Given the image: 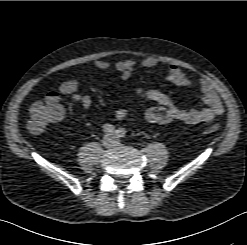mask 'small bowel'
Returning a JSON list of instances; mask_svg holds the SVG:
<instances>
[{"label":"small bowel","instance_id":"obj_1","mask_svg":"<svg viewBox=\"0 0 247 245\" xmlns=\"http://www.w3.org/2000/svg\"><path fill=\"white\" fill-rule=\"evenodd\" d=\"M158 64L154 58H146L141 62L133 59H126L116 62L113 67L120 74L121 78L127 80L139 68L154 67ZM92 65L100 70L109 69L112 65L106 60H95ZM166 80L177 85L192 86L197 85L202 93V100L206 105L204 108H187L183 109L176 106L173 100L166 93L157 90H139L136 97L140 100L156 103V106L149 108L145 112V119L156 125L168 124L172 121H181L186 124L209 123L217 116L224 112L223 103L220 96L212 86V84L205 79H194L185 74L178 66H170ZM81 83L76 79H71L62 82L58 91H51L45 97V102L48 104L60 105V94L67 95L72 101L79 103L83 108L87 109L91 106V98L80 92ZM128 115L127 108H120L115 113L117 120H123Z\"/></svg>","mask_w":247,"mask_h":245}]
</instances>
